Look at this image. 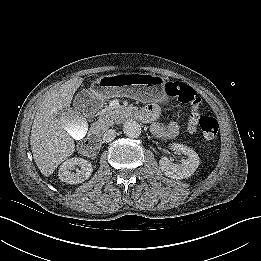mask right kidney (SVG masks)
Listing matches in <instances>:
<instances>
[{
    "label": "right kidney",
    "mask_w": 261,
    "mask_h": 261,
    "mask_svg": "<svg viewBox=\"0 0 261 261\" xmlns=\"http://www.w3.org/2000/svg\"><path fill=\"white\" fill-rule=\"evenodd\" d=\"M84 131L79 134V137L84 136ZM80 166V169H76L75 172H71L75 166ZM93 172L92 164L79 157H73L66 160L59 168L58 176L59 179L63 182H67L69 184H78L87 180Z\"/></svg>",
    "instance_id": "ca27d5eb"
}]
</instances>
